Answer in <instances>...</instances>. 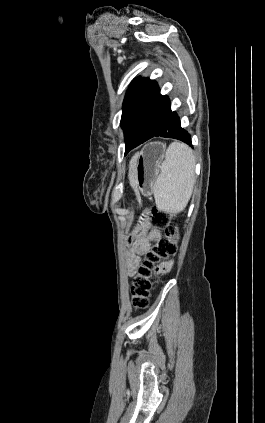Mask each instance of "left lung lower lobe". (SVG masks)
Returning <instances> with one entry per match:
<instances>
[{"mask_svg": "<svg viewBox=\"0 0 265 423\" xmlns=\"http://www.w3.org/2000/svg\"><path fill=\"white\" fill-rule=\"evenodd\" d=\"M155 136L178 139L192 147L190 134L181 127L178 115L171 111L168 97L160 94L155 81L146 78L127 117L125 154Z\"/></svg>", "mask_w": 265, "mask_h": 423, "instance_id": "left-lung-lower-lobe-1", "label": "left lung lower lobe"}]
</instances>
